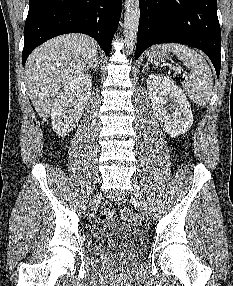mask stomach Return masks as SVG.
I'll use <instances>...</instances> for the list:
<instances>
[{
  "label": "stomach",
  "instance_id": "stomach-1",
  "mask_svg": "<svg viewBox=\"0 0 233 286\" xmlns=\"http://www.w3.org/2000/svg\"><path fill=\"white\" fill-rule=\"evenodd\" d=\"M167 57V53L162 51L159 47L152 48L148 53V61L157 63Z\"/></svg>",
  "mask_w": 233,
  "mask_h": 286
}]
</instances>
